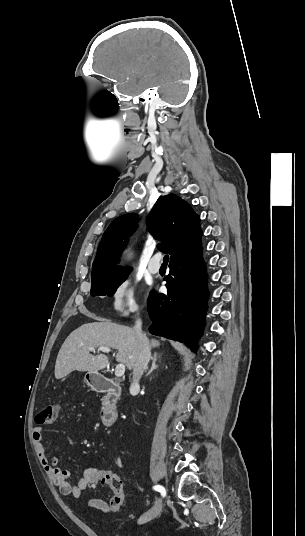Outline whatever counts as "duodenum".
<instances>
[{
	"label": "duodenum",
	"instance_id": "1",
	"mask_svg": "<svg viewBox=\"0 0 305 536\" xmlns=\"http://www.w3.org/2000/svg\"><path fill=\"white\" fill-rule=\"evenodd\" d=\"M92 388L103 393L104 399L101 406V421L104 426H113L118 420L116 403L121 395V388L114 379L102 377L99 375L91 379Z\"/></svg>",
	"mask_w": 305,
	"mask_h": 536
}]
</instances>
